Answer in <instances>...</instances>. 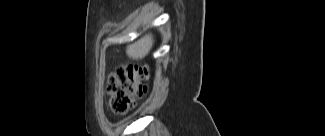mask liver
Returning a JSON list of instances; mask_svg holds the SVG:
<instances>
[{
  "instance_id": "obj_1",
  "label": "liver",
  "mask_w": 325,
  "mask_h": 136,
  "mask_svg": "<svg viewBox=\"0 0 325 136\" xmlns=\"http://www.w3.org/2000/svg\"><path fill=\"white\" fill-rule=\"evenodd\" d=\"M154 43L152 34H146L126 48V54L133 60L143 59L150 52Z\"/></svg>"
}]
</instances>
